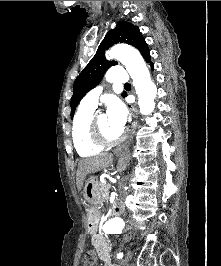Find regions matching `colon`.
Segmentation results:
<instances>
[{
	"label": "colon",
	"mask_w": 221,
	"mask_h": 266,
	"mask_svg": "<svg viewBox=\"0 0 221 266\" xmlns=\"http://www.w3.org/2000/svg\"><path fill=\"white\" fill-rule=\"evenodd\" d=\"M97 261L96 254L93 251H88L84 256L85 266H94Z\"/></svg>",
	"instance_id": "colon-1"
}]
</instances>
